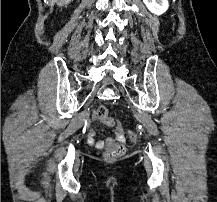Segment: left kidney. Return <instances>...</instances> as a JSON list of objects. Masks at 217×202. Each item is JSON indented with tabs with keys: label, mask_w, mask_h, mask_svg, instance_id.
I'll return each instance as SVG.
<instances>
[{
	"label": "left kidney",
	"mask_w": 217,
	"mask_h": 202,
	"mask_svg": "<svg viewBox=\"0 0 217 202\" xmlns=\"http://www.w3.org/2000/svg\"><path fill=\"white\" fill-rule=\"evenodd\" d=\"M143 2L146 8H148L152 14H157V16L166 12L168 8L167 0H143Z\"/></svg>",
	"instance_id": "left-kidney-1"
}]
</instances>
